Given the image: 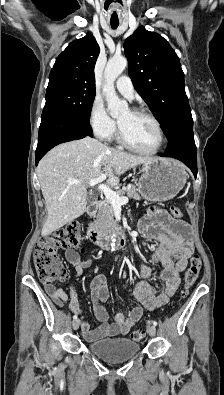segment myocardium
Listing matches in <instances>:
<instances>
[{
	"instance_id": "myocardium-1",
	"label": "myocardium",
	"mask_w": 224,
	"mask_h": 395,
	"mask_svg": "<svg viewBox=\"0 0 224 395\" xmlns=\"http://www.w3.org/2000/svg\"><path fill=\"white\" fill-rule=\"evenodd\" d=\"M130 111L135 114L144 115V116L148 117L155 124L157 131H158V136H159L158 144L156 145L155 148H153L151 150H144V149L136 147L127 139V137L124 135V133L122 131V128H121L119 122H117V139H118L119 143L122 146H124L125 148H127L133 152L139 153V154L154 155V154L158 153L162 149V147L164 145V141H165L164 131H163V128H162V125H161L159 119L153 113H151L149 110L142 108V107H133L130 109Z\"/></svg>"
}]
</instances>
